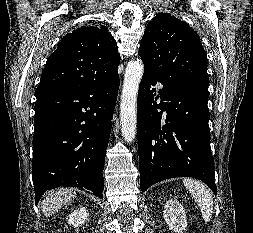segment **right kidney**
<instances>
[{
    "label": "right kidney",
    "mask_w": 253,
    "mask_h": 233,
    "mask_svg": "<svg viewBox=\"0 0 253 233\" xmlns=\"http://www.w3.org/2000/svg\"><path fill=\"white\" fill-rule=\"evenodd\" d=\"M89 214L86 211L85 207H80L74 212H72L68 217L69 224H72L74 227L82 225L87 220Z\"/></svg>",
    "instance_id": "right-kidney-1"
}]
</instances>
